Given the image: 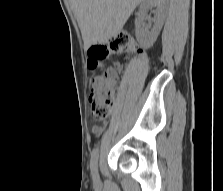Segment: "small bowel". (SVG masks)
<instances>
[{"mask_svg":"<svg viewBox=\"0 0 223 191\" xmlns=\"http://www.w3.org/2000/svg\"><path fill=\"white\" fill-rule=\"evenodd\" d=\"M102 130H103V127L100 126V125H95V126H93V132H94L95 134H100V133L102 132Z\"/></svg>","mask_w":223,"mask_h":191,"instance_id":"1","label":"small bowel"}]
</instances>
